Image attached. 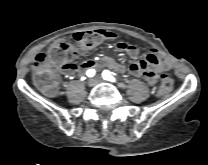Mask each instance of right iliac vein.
Wrapping results in <instances>:
<instances>
[{
    "label": "right iliac vein",
    "instance_id": "right-iliac-vein-1",
    "mask_svg": "<svg viewBox=\"0 0 208 165\" xmlns=\"http://www.w3.org/2000/svg\"><path fill=\"white\" fill-rule=\"evenodd\" d=\"M96 84H97V81H96L95 78H91V79H89L88 82H87V85H88L89 87H94Z\"/></svg>",
    "mask_w": 208,
    "mask_h": 165
}]
</instances>
